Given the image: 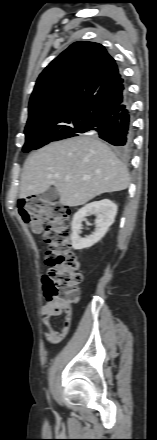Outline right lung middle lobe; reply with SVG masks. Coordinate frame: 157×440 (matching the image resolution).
Masks as SVG:
<instances>
[{"instance_id":"obj_1","label":"right lung middle lobe","mask_w":157,"mask_h":440,"mask_svg":"<svg viewBox=\"0 0 157 440\" xmlns=\"http://www.w3.org/2000/svg\"><path fill=\"white\" fill-rule=\"evenodd\" d=\"M84 124L67 121L30 120L25 127L24 152L38 149L51 141L79 136L85 133Z\"/></svg>"}]
</instances>
